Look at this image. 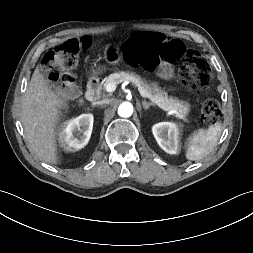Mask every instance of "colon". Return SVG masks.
<instances>
[{"instance_id": "5ec220e1", "label": "colon", "mask_w": 253, "mask_h": 253, "mask_svg": "<svg viewBox=\"0 0 253 253\" xmlns=\"http://www.w3.org/2000/svg\"><path fill=\"white\" fill-rule=\"evenodd\" d=\"M85 45L82 40H69L56 46L43 57V67L49 81L58 85L66 94L77 90L75 78L69 71L77 63L78 54ZM125 60L134 66L152 68L158 57L179 60V82L189 90L208 87L212 82V71L207 60L196 50L187 49L177 39H167L158 33H133L123 45ZM201 116L208 124L216 123L221 116L219 103L211 98L204 101Z\"/></svg>"}]
</instances>
